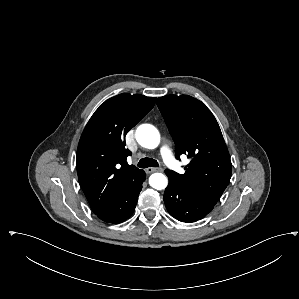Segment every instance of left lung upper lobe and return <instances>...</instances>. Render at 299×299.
I'll list each match as a JSON object with an SVG mask.
<instances>
[{
	"label": "left lung upper lobe",
	"mask_w": 299,
	"mask_h": 299,
	"mask_svg": "<svg viewBox=\"0 0 299 299\" xmlns=\"http://www.w3.org/2000/svg\"><path fill=\"white\" fill-rule=\"evenodd\" d=\"M157 105L175 142L176 158H191L185 173L166 169L167 176L212 204L231 178V160L220 127L211 111L188 95H166Z\"/></svg>",
	"instance_id": "obj_1"
}]
</instances>
